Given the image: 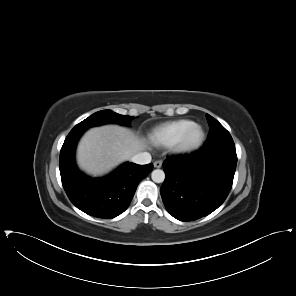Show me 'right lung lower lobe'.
<instances>
[{
  "instance_id": "98d812e1",
  "label": "right lung lower lobe",
  "mask_w": 296,
  "mask_h": 296,
  "mask_svg": "<svg viewBox=\"0 0 296 296\" xmlns=\"http://www.w3.org/2000/svg\"><path fill=\"white\" fill-rule=\"evenodd\" d=\"M83 133L72 129L61 148L62 185L70 201L81 211L94 217L114 218L127 209L138 184L152 171L153 164L127 162L104 178L87 177L74 160L76 144Z\"/></svg>"
}]
</instances>
